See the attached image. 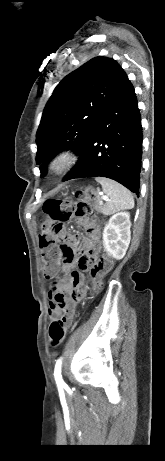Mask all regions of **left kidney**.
Returning <instances> with one entry per match:
<instances>
[{
    "mask_svg": "<svg viewBox=\"0 0 165 461\" xmlns=\"http://www.w3.org/2000/svg\"><path fill=\"white\" fill-rule=\"evenodd\" d=\"M129 212H118L110 217L103 230V245L113 258L122 259L128 249L131 232Z\"/></svg>",
    "mask_w": 165,
    "mask_h": 461,
    "instance_id": "obj_1",
    "label": "left kidney"
}]
</instances>
